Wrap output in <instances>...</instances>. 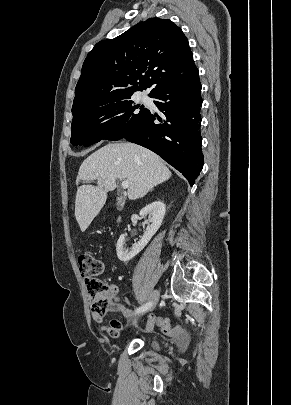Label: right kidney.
Listing matches in <instances>:
<instances>
[{
    "mask_svg": "<svg viewBox=\"0 0 291 405\" xmlns=\"http://www.w3.org/2000/svg\"><path fill=\"white\" fill-rule=\"evenodd\" d=\"M166 207L165 204L161 201H155L146 207H144L140 211V216H147L148 215V224L146 231L144 232L141 239L135 243L130 249H125V236L121 235L116 244V251L117 256L120 261L127 262L135 257L144 247L148 244L151 240L153 235L158 231L160 228L163 218L165 216Z\"/></svg>",
    "mask_w": 291,
    "mask_h": 405,
    "instance_id": "obj_1",
    "label": "right kidney"
}]
</instances>
